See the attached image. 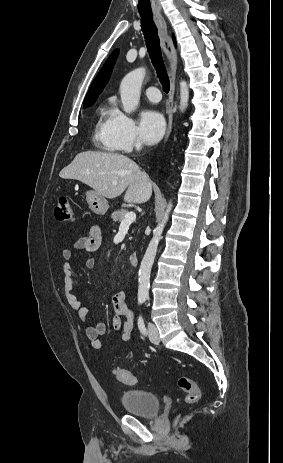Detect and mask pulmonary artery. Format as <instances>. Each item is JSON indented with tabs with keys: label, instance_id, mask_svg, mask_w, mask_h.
<instances>
[{
	"label": "pulmonary artery",
	"instance_id": "e3ab8cb5",
	"mask_svg": "<svg viewBox=\"0 0 283 463\" xmlns=\"http://www.w3.org/2000/svg\"><path fill=\"white\" fill-rule=\"evenodd\" d=\"M146 97L152 102H158L161 99V93L156 87H148L144 90Z\"/></svg>",
	"mask_w": 283,
	"mask_h": 463
}]
</instances>
